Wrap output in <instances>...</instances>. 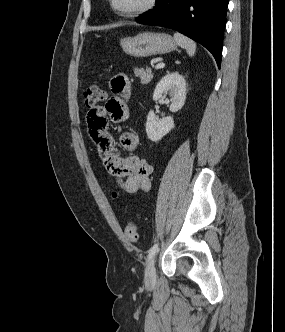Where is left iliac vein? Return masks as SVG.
I'll return each mask as SVG.
<instances>
[{
	"instance_id": "obj_1",
	"label": "left iliac vein",
	"mask_w": 285,
	"mask_h": 332,
	"mask_svg": "<svg viewBox=\"0 0 285 332\" xmlns=\"http://www.w3.org/2000/svg\"><path fill=\"white\" fill-rule=\"evenodd\" d=\"M156 281L155 259L149 261L145 270V283L148 285L154 284Z\"/></svg>"
}]
</instances>
